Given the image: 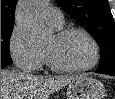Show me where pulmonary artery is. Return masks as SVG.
<instances>
[{"mask_svg":"<svg viewBox=\"0 0 115 99\" xmlns=\"http://www.w3.org/2000/svg\"><path fill=\"white\" fill-rule=\"evenodd\" d=\"M46 23L55 29H60L64 23V17L60 10L54 7L46 8L44 12Z\"/></svg>","mask_w":115,"mask_h":99,"instance_id":"e3ab8cb5","label":"pulmonary artery"}]
</instances>
